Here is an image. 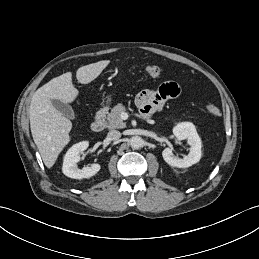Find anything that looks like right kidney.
<instances>
[{"instance_id":"1","label":"right kidney","mask_w":259,"mask_h":259,"mask_svg":"<svg viewBox=\"0 0 259 259\" xmlns=\"http://www.w3.org/2000/svg\"><path fill=\"white\" fill-rule=\"evenodd\" d=\"M89 146L87 141L74 144L65 154L63 160L62 171L63 173L73 179L90 178L94 176L101 168L99 164H91L90 167L78 168L77 163L80 160L79 154L86 150Z\"/></svg>"}]
</instances>
